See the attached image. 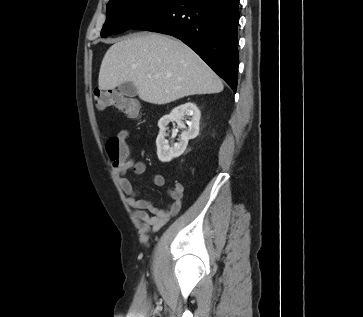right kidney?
<instances>
[{"label": "right kidney", "mask_w": 363, "mask_h": 317, "mask_svg": "<svg viewBox=\"0 0 363 317\" xmlns=\"http://www.w3.org/2000/svg\"><path fill=\"white\" fill-rule=\"evenodd\" d=\"M200 110L196 104L188 102L175 107L170 114L163 116L158 126L160 128L158 137L156 139L157 156L161 162H170L173 158L179 157L184 153L190 139H194L199 134V122H200ZM186 117H191L190 121H187L188 129L183 131L178 143L173 146H169L168 140L165 139L166 127L170 122H177V124L185 128L183 120Z\"/></svg>", "instance_id": "obj_1"}]
</instances>
